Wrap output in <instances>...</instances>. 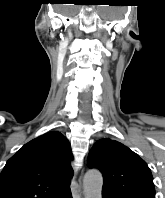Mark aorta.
<instances>
[{"instance_id": "aorta-1", "label": "aorta", "mask_w": 165, "mask_h": 198, "mask_svg": "<svg viewBox=\"0 0 165 198\" xmlns=\"http://www.w3.org/2000/svg\"><path fill=\"white\" fill-rule=\"evenodd\" d=\"M103 177L96 170L91 169L86 172L83 179V188L85 198H102Z\"/></svg>"}]
</instances>
